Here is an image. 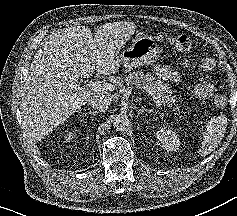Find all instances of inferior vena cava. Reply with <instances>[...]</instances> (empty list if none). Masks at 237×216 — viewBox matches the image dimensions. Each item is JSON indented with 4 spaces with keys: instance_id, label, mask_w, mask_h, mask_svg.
I'll list each match as a JSON object with an SVG mask.
<instances>
[{
    "instance_id": "1",
    "label": "inferior vena cava",
    "mask_w": 237,
    "mask_h": 216,
    "mask_svg": "<svg viewBox=\"0 0 237 216\" xmlns=\"http://www.w3.org/2000/svg\"><path fill=\"white\" fill-rule=\"evenodd\" d=\"M112 101L113 100L109 94L103 91H97L91 95L87 100V103L90 107L105 113L110 108Z\"/></svg>"
}]
</instances>
